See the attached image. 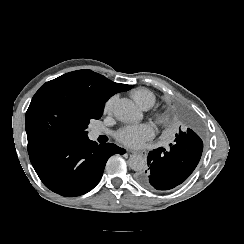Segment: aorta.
I'll use <instances>...</instances> for the list:
<instances>
[{
  "label": "aorta",
  "mask_w": 244,
  "mask_h": 244,
  "mask_svg": "<svg viewBox=\"0 0 244 244\" xmlns=\"http://www.w3.org/2000/svg\"><path fill=\"white\" fill-rule=\"evenodd\" d=\"M113 112L115 117L124 123H135L142 118V113L133 101L127 98L118 99L114 103ZM128 164L136 172L143 171L147 168V160L140 154L131 155Z\"/></svg>",
  "instance_id": "762f6f07"
}]
</instances>
